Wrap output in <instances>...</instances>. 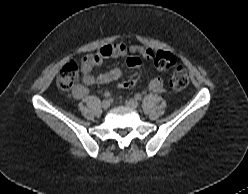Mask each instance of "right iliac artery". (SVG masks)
<instances>
[{"mask_svg": "<svg viewBox=\"0 0 248 194\" xmlns=\"http://www.w3.org/2000/svg\"><path fill=\"white\" fill-rule=\"evenodd\" d=\"M104 96H105L106 98H109V97H110V93H109V92H105Z\"/></svg>", "mask_w": 248, "mask_h": 194, "instance_id": "right-iliac-artery-1", "label": "right iliac artery"}]
</instances>
